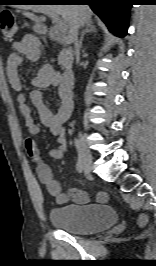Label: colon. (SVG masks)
Masks as SVG:
<instances>
[{
    "instance_id": "obj_1",
    "label": "colon",
    "mask_w": 156,
    "mask_h": 266,
    "mask_svg": "<svg viewBox=\"0 0 156 266\" xmlns=\"http://www.w3.org/2000/svg\"><path fill=\"white\" fill-rule=\"evenodd\" d=\"M18 31V26L13 14L9 11H4L0 15V32L2 38L6 42L14 40ZM146 221L145 217L140 218V223L144 224Z\"/></svg>"
}]
</instances>
